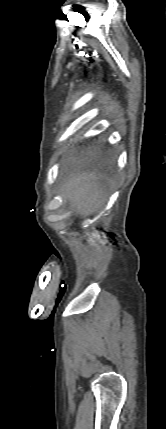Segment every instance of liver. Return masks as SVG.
Listing matches in <instances>:
<instances>
[{
    "label": "liver",
    "mask_w": 166,
    "mask_h": 429,
    "mask_svg": "<svg viewBox=\"0 0 166 429\" xmlns=\"http://www.w3.org/2000/svg\"><path fill=\"white\" fill-rule=\"evenodd\" d=\"M61 193L76 212L86 217L97 212L106 202L108 183L95 172L77 173L64 182Z\"/></svg>",
    "instance_id": "1"
}]
</instances>
